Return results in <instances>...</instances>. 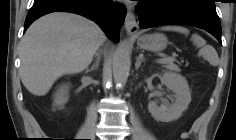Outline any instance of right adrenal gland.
<instances>
[{"instance_id": "obj_1", "label": "right adrenal gland", "mask_w": 236, "mask_h": 140, "mask_svg": "<svg viewBox=\"0 0 236 140\" xmlns=\"http://www.w3.org/2000/svg\"><path fill=\"white\" fill-rule=\"evenodd\" d=\"M95 56H96V61L93 63V65L91 66L89 71H92L94 69H98L99 62H100V55L96 54Z\"/></svg>"}]
</instances>
